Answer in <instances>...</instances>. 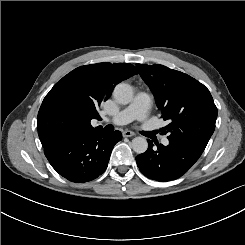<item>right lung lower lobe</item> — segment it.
<instances>
[{"mask_svg":"<svg viewBox=\"0 0 245 245\" xmlns=\"http://www.w3.org/2000/svg\"><path fill=\"white\" fill-rule=\"evenodd\" d=\"M121 139L119 131L94 130L58 139L44 147V153L57 173L69 181L84 183L106 170L111 151Z\"/></svg>","mask_w":245,"mask_h":245,"instance_id":"right-lung-lower-lobe-1","label":"right lung lower lobe"}]
</instances>
